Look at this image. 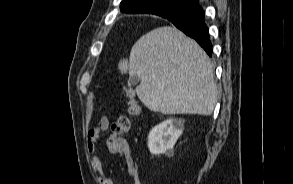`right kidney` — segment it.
<instances>
[{
    "mask_svg": "<svg viewBox=\"0 0 293 184\" xmlns=\"http://www.w3.org/2000/svg\"><path fill=\"white\" fill-rule=\"evenodd\" d=\"M184 121L182 119H168L152 128L148 135V148L151 154L165 153L173 156V147L182 135Z\"/></svg>",
    "mask_w": 293,
    "mask_h": 184,
    "instance_id": "obj_1",
    "label": "right kidney"
}]
</instances>
